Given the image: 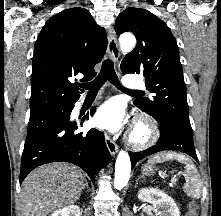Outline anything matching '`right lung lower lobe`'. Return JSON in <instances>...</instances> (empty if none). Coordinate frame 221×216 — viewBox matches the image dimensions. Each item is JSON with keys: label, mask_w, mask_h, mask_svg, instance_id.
I'll list each match as a JSON object with an SVG mask.
<instances>
[{"label": "right lung lower lobe", "mask_w": 221, "mask_h": 216, "mask_svg": "<svg viewBox=\"0 0 221 216\" xmlns=\"http://www.w3.org/2000/svg\"><path fill=\"white\" fill-rule=\"evenodd\" d=\"M74 103L66 106L64 116L35 138L25 142L21 159L20 184L36 167L51 162H69L81 167L93 180L111 156L104 134L96 129L75 132L86 120L71 121ZM95 107L91 109V115Z\"/></svg>", "instance_id": "right-lung-lower-lobe-1"}]
</instances>
